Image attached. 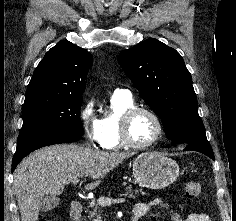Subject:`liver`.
Returning a JSON list of instances; mask_svg holds the SVG:
<instances>
[{
  "mask_svg": "<svg viewBox=\"0 0 236 221\" xmlns=\"http://www.w3.org/2000/svg\"><path fill=\"white\" fill-rule=\"evenodd\" d=\"M130 152H103L76 144L42 148L24 159L14 173L15 195L21 221H37L40 201L45 195L59 196L72 180L91 177L88 190L100 179L131 157Z\"/></svg>",
  "mask_w": 236,
  "mask_h": 221,
  "instance_id": "1",
  "label": "liver"
}]
</instances>
